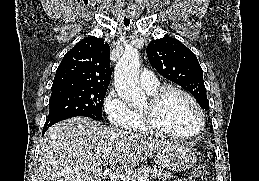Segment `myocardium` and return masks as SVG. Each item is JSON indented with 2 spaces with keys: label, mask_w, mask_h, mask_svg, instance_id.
I'll use <instances>...</instances> for the list:
<instances>
[{
  "label": "myocardium",
  "mask_w": 259,
  "mask_h": 181,
  "mask_svg": "<svg viewBox=\"0 0 259 181\" xmlns=\"http://www.w3.org/2000/svg\"><path fill=\"white\" fill-rule=\"evenodd\" d=\"M172 93H178L186 97L192 105L195 107L198 116H199V127L198 129L190 134H179L172 132L170 130L165 129L162 127L158 121V113L159 110L165 101V99ZM142 115L144 118V122L150 132L167 136L175 139H192L199 136L205 127V115L203 112L202 107L196 100V98L186 91L185 89L173 86V85H166L158 88L153 94L149 96L148 105L145 109L142 110Z\"/></svg>",
  "instance_id": "obj_1"
}]
</instances>
